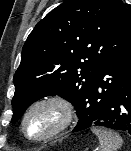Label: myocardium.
I'll return each mask as SVG.
<instances>
[{
  "label": "myocardium",
  "instance_id": "f54148a6",
  "mask_svg": "<svg viewBox=\"0 0 131 151\" xmlns=\"http://www.w3.org/2000/svg\"><path fill=\"white\" fill-rule=\"evenodd\" d=\"M51 107L59 112L58 124L47 134L40 137H32L26 131L28 117L37 109ZM74 119V106L69 99L60 94H49L33 101L25 110L21 120V130L23 135L32 142L40 143L52 140L66 131Z\"/></svg>",
  "mask_w": 131,
  "mask_h": 151
}]
</instances>
